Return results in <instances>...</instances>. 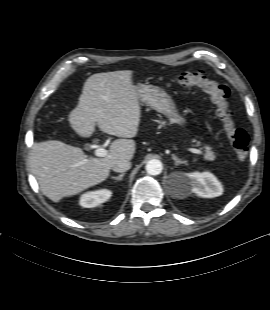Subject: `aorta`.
Masks as SVG:
<instances>
[{
	"instance_id": "762f6f07",
	"label": "aorta",
	"mask_w": 270,
	"mask_h": 310,
	"mask_svg": "<svg viewBox=\"0 0 270 310\" xmlns=\"http://www.w3.org/2000/svg\"><path fill=\"white\" fill-rule=\"evenodd\" d=\"M146 171L149 175H159L162 172V163L160 160L151 159L146 164Z\"/></svg>"
}]
</instances>
